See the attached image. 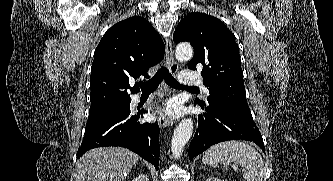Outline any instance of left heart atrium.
<instances>
[{"instance_id":"39dd6f15","label":"left heart atrium","mask_w":333,"mask_h":181,"mask_svg":"<svg viewBox=\"0 0 333 181\" xmlns=\"http://www.w3.org/2000/svg\"><path fill=\"white\" fill-rule=\"evenodd\" d=\"M162 113L169 117H178L181 114V106L176 101H170L162 109Z\"/></svg>"}]
</instances>
